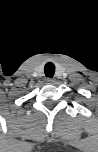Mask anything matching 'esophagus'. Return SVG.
Segmentation results:
<instances>
[{"instance_id": "1", "label": "esophagus", "mask_w": 98, "mask_h": 152, "mask_svg": "<svg viewBox=\"0 0 98 152\" xmlns=\"http://www.w3.org/2000/svg\"><path fill=\"white\" fill-rule=\"evenodd\" d=\"M45 82H46L47 84H53V83H54V79H52V78H46V79H45Z\"/></svg>"}]
</instances>
